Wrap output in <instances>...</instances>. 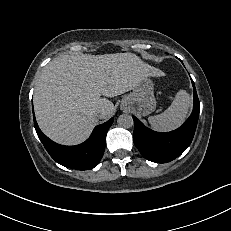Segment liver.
<instances>
[{
  "instance_id": "obj_1",
  "label": "liver",
  "mask_w": 231,
  "mask_h": 231,
  "mask_svg": "<svg viewBox=\"0 0 231 231\" xmlns=\"http://www.w3.org/2000/svg\"><path fill=\"white\" fill-rule=\"evenodd\" d=\"M150 76L165 74L129 52L58 56L43 68L35 87L38 125L57 143L79 144L99 119L113 115L115 107L108 97L130 91Z\"/></svg>"
}]
</instances>
